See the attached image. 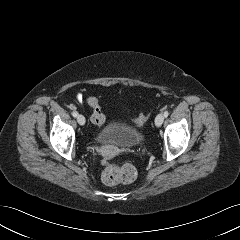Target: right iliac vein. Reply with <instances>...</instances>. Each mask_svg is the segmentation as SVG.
Returning <instances> with one entry per match:
<instances>
[{
    "label": "right iliac vein",
    "instance_id": "1",
    "mask_svg": "<svg viewBox=\"0 0 240 240\" xmlns=\"http://www.w3.org/2000/svg\"><path fill=\"white\" fill-rule=\"evenodd\" d=\"M77 121L80 125H84L85 124V117L83 115L79 114L77 116Z\"/></svg>",
    "mask_w": 240,
    "mask_h": 240
}]
</instances>
